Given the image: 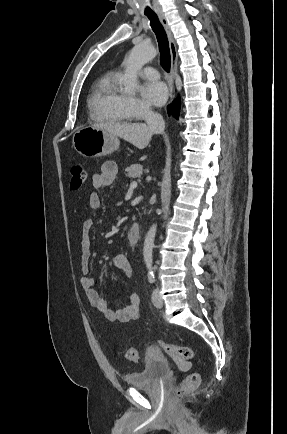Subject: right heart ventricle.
Returning <instances> with one entry per match:
<instances>
[{
  "instance_id": "e07e8e85",
  "label": "right heart ventricle",
  "mask_w": 287,
  "mask_h": 434,
  "mask_svg": "<svg viewBox=\"0 0 287 434\" xmlns=\"http://www.w3.org/2000/svg\"><path fill=\"white\" fill-rule=\"evenodd\" d=\"M117 80V73L108 72L94 83L88 99L89 112L93 120L122 123L131 118L124 108V95L118 89Z\"/></svg>"
}]
</instances>
